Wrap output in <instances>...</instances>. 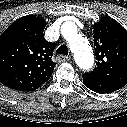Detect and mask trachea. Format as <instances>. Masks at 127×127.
<instances>
[{
  "label": "trachea",
  "instance_id": "trachea-1",
  "mask_svg": "<svg viewBox=\"0 0 127 127\" xmlns=\"http://www.w3.org/2000/svg\"><path fill=\"white\" fill-rule=\"evenodd\" d=\"M56 54H62L67 56L68 55V48L66 45H61L57 50H56Z\"/></svg>",
  "mask_w": 127,
  "mask_h": 127
}]
</instances>
